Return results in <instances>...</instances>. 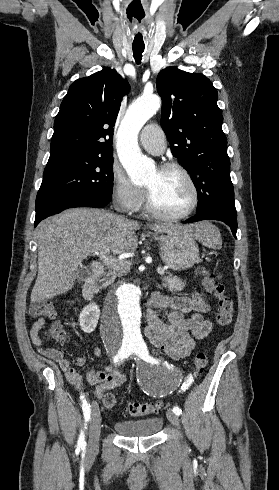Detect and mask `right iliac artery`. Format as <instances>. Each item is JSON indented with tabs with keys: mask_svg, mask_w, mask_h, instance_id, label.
<instances>
[{
	"mask_svg": "<svg viewBox=\"0 0 279 490\" xmlns=\"http://www.w3.org/2000/svg\"><path fill=\"white\" fill-rule=\"evenodd\" d=\"M114 360H113V363L116 365V366H119L122 361H124L126 358H127V355L124 353V352H121L119 355L118 354H115L114 355ZM80 399L82 400L83 404H82V410H83V414H84V418H85V422H88L89 419H90V404L87 403L84 395H81L80 396ZM86 428V427H85ZM86 446V442H85V436H84V433L81 432L80 436H79V439H78V448H81V449H84Z\"/></svg>",
	"mask_w": 279,
	"mask_h": 490,
	"instance_id": "1",
	"label": "right iliac artery"
}]
</instances>
